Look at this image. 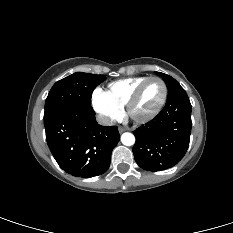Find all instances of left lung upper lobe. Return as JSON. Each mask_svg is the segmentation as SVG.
I'll return each instance as SVG.
<instances>
[{
  "label": "left lung upper lobe",
  "mask_w": 233,
  "mask_h": 233,
  "mask_svg": "<svg viewBox=\"0 0 233 233\" xmlns=\"http://www.w3.org/2000/svg\"><path fill=\"white\" fill-rule=\"evenodd\" d=\"M157 75L161 76L163 80L166 83V86L168 88V98L181 93L185 92V90L181 87V85L171 76L161 73V72H155Z\"/></svg>",
  "instance_id": "1"
}]
</instances>
